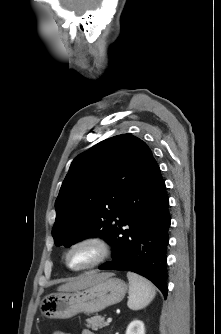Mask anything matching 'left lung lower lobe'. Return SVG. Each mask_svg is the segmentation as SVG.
<instances>
[{
    "label": "left lung lower lobe",
    "mask_w": 221,
    "mask_h": 334,
    "mask_svg": "<svg viewBox=\"0 0 221 334\" xmlns=\"http://www.w3.org/2000/svg\"><path fill=\"white\" fill-rule=\"evenodd\" d=\"M169 200L157 162L152 161L124 199L109 244L111 262L99 269L127 270L151 280L167 296ZM128 226L122 229V226Z\"/></svg>",
    "instance_id": "left-lung-lower-lobe-1"
}]
</instances>
